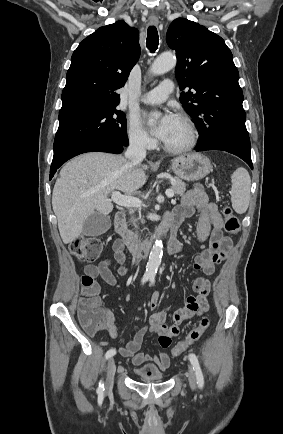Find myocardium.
Listing matches in <instances>:
<instances>
[{"label":"myocardium","mask_w":283,"mask_h":434,"mask_svg":"<svg viewBox=\"0 0 283 434\" xmlns=\"http://www.w3.org/2000/svg\"><path fill=\"white\" fill-rule=\"evenodd\" d=\"M177 118H179L185 124L188 137L186 142L180 146H171L166 142L163 143L164 149L172 154H182L192 150L198 140V131L192 119L184 113H179Z\"/></svg>","instance_id":"1"}]
</instances>
